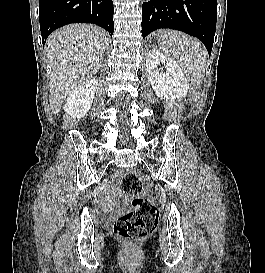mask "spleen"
I'll return each instance as SVG.
<instances>
[{"mask_svg": "<svg viewBox=\"0 0 265 273\" xmlns=\"http://www.w3.org/2000/svg\"><path fill=\"white\" fill-rule=\"evenodd\" d=\"M160 49L176 60L193 86L200 85L205 74L206 51L201 42L182 32L166 30L159 34Z\"/></svg>", "mask_w": 265, "mask_h": 273, "instance_id": "1", "label": "spleen"}]
</instances>
